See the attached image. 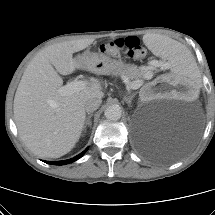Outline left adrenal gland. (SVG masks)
Wrapping results in <instances>:
<instances>
[{
    "label": "left adrenal gland",
    "mask_w": 215,
    "mask_h": 215,
    "mask_svg": "<svg viewBox=\"0 0 215 215\" xmlns=\"http://www.w3.org/2000/svg\"><path fill=\"white\" fill-rule=\"evenodd\" d=\"M134 96H135V94H132L128 97H126V96L124 97V101L128 104L129 107H131V102H132Z\"/></svg>",
    "instance_id": "left-adrenal-gland-1"
}]
</instances>
